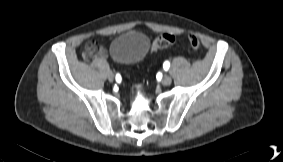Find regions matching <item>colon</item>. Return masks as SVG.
<instances>
[{
    "label": "colon",
    "mask_w": 283,
    "mask_h": 162,
    "mask_svg": "<svg viewBox=\"0 0 283 162\" xmlns=\"http://www.w3.org/2000/svg\"><path fill=\"white\" fill-rule=\"evenodd\" d=\"M175 42V36L169 33H164L159 35L152 43V48L154 50H161L171 46ZM188 43L192 49H198L200 42L195 35H189ZM86 58H89V55H86Z\"/></svg>",
    "instance_id": "obj_1"
}]
</instances>
